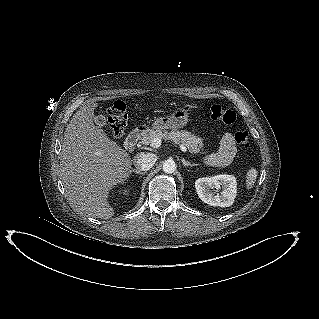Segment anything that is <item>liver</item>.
I'll return each instance as SVG.
<instances>
[{
	"label": "liver",
	"mask_w": 319,
	"mask_h": 319,
	"mask_svg": "<svg viewBox=\"0 0 319 319\" xmlns=\"http://www.w3.org/2000/svg\"><path fill=\"white\" fill-rule=\"evenodd\" d=\"M97 107V103L83 106L67 125L60 153L61 179L77 212L108 219L114 215L109 192L129 177L132 162L124 149L94 125Z\"/></svg>",
	"instance_id": "obj_1"
}]
</instances>
